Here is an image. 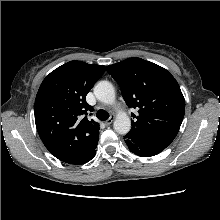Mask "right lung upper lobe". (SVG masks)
I'll return each instance as SVG.
<instances>
[{"mask_svg":"<svg viewBox=\"0 0 220 220\" xmlns=\"http://www.w3.org/2000/svg\"><path fill=\"white\" fill-rule=\"evenodd\" d=\"M105 66L70 61L43 80L35 99L39 136L59 160L74 164L98 143L99 124L89 120L92 107L86 95L102 76Z\"/></svg>","mask_w":220,"mask_h":220,"instance_id":"right-lung-upper-lobe-1","label":"right lung upper lobe"}]
</instances>
